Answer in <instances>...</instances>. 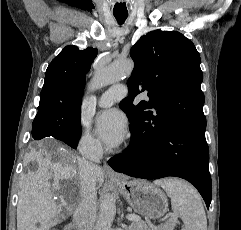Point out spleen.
I'll list each match as a JSON object with an SVG mask.
<instances>
[{"mask_svg": "<svg viewBox=\"0 0 241 230\" xmlns=\"http://www.w3.org/2000/svg\"><path fill=\"white\" fill-rule=\"evenodd\" d=\"M155 183L170 197L173 212L183 220L182 230H207L201 197L190 184L179 179H164Z\"/></svg>", "mask_w": 241, "mask_h": 230, "instance_id": "spleen-1", "label": "spleen"}]
</instances>
